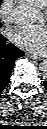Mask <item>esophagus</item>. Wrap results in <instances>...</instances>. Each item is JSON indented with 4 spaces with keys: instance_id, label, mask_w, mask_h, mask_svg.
<instances>
[{
    "instance_id": "1",
    "label": "esophagus",
    "mask_w": 47,
    "mask_h": 129,
    "mask_svg": "<svg viewBox=\"0 0 47 129\" xmlns=\"http://www.w3.org/2000/svg\"><path fill=\"white\" fill-rule=\"evenodd\" d=\"M32 59L34 60H41V57L37 56V55H33V54H28Z\"/></svg>"
}]
</instances>
